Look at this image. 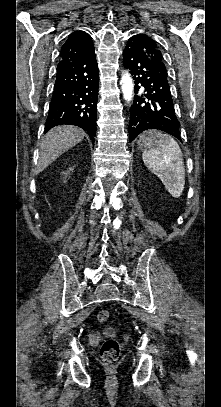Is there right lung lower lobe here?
<instances>
[{"label":"right lung lower lobe","mask_w":221,"mask_h":407,"mask_svg":"<svg viewBox=\"0 0 221 407\" xmlns=\"http://www.w3.org/2000/svg\"><path fill=\"white\" fill-rule=\"evenodd\" d=\"M98 85V64L92 44L84 56L57 68L45 132L57 125L70 124L81 127L94 140Z\"/></svg>","instance_id":"1"}]
</instances>
